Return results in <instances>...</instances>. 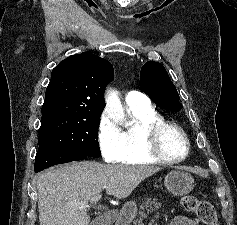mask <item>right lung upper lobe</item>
Here are the masks:
<instances>
[{"mask_svg":"<svg viewBox=\"0 0 237 225\" xmlns=\"http://www.w3.org/2000/svg\"><path fill=\"white\" fill-rule=\"evenodd\" d=\"M113 74L109 61L88 52L61 61L53 69L46 89L42 120L101 115L104 89Z\"/></svg>","mask_w":237,"mask_h":225,"instance_id":"obj_1","label":"right lung upper lobe"}]
</instances>
